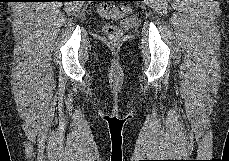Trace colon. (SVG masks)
Returning a JSON list of instances; mask_svg holds the SVG:
<instances>
[{
  "mask_svg": "<svg viewBox=\"0 0 229 161\" xmlns=\"http://www.w3.org/2000/svg\"><path fill=\"white\" fill-rule=\"evenodd\" d=\"M98 13L104 18H120L129 13V8L125 5L102 3L98 6ZM103 29L108 37L114 41L119 40L122 36L121 29L114 24H105Z\"/></svg>",
  "mask_w": 229,
  "mask_h": 161,
  "instance_id": "5ec220e1",
  "label": "colon"
}]
</instances>
